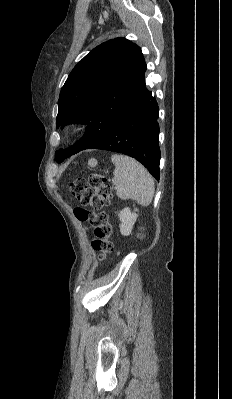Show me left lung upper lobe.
Masks as SVG:
<instances>
[{"instance_id": "1", "label": "left lung upper lobe", "mask_w": 232, "mask_h": 399, "mask_svg": "<svg viewBox=\"0 0 232 399\" xmlns=\"http://www.w3.org/2000/svg\"><path fill=\"white\" fill-rule=\"evenodd\" d=\"M146 63L141 49L125 38L102 43L71 71L58 100L56 127L71 122L87 125L84 136L55 160L90 149L111 129L138 92Z\"/></svg>"}]
</instances>
